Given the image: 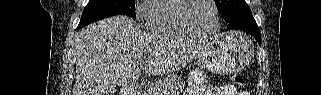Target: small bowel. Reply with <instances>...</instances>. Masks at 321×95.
I'll list each match as a JSON object with an SVG mask.
<instances>
[{"label": "small bowel", "instance_id": "small-bowel-1", "mask_svg": "<svg viewBox=\"0 0 321 95\" xmlns=\"http://www.w3.org/2000/svg\"><path fill=\"white\" fill-rule=\"evenodd\" d=\"M188 95H195V93H189ZM205 95H238V93L233 86L224 85V86H209L205 91Z\"/></svg>", "mask_w": 321, "mask_h": 95}]
</instances>
